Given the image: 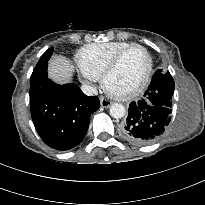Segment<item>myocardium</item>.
<instances>
[{
	"label": "myocardium",
	"mask_w": 205,
	"mask_h": 205,
	"mask_svg": "<svg viewBox=\"0 0 205 205\" xmlns=\"http://www.w3.org/2000/svg\"><path fill=\"white\" fill-rule=\"evenodd\" d=\"M135 48L141 49L147 57V69H146V73H145L142 81L139 83V85L136 88H134L133 90H131L127 93H124V94H117V93L110 91L107 87L108 77L116 70V68L118 67L122 58L129 51H131L132 49H135ZM152 72H153V59H152L150 52L147 50L146 47H144L140 44H131L130 46L126 47L125 49H123L119 53H117L113 57V59L110 61V63L107 65V67L105 68V70L102 73L101 84H102L103 89L110 96H112L118 100H128V99H131V98L138 96L145 89V87L148 85V83L150 81Z\"/></svg>",
	"instance_id": "f54148a6"
}]
</instances>
